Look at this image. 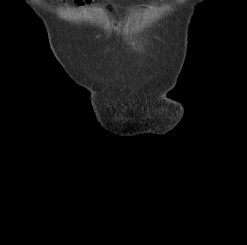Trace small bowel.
<instances>
[{
  "label": "small bowel",
  "instance_id": "c3829d8e",
  "mask_svg": "<svg viewBox=\"0 0 247 245\" xmlns=\"http://www.w3.org/2000/svg\"><path fill=\"white\" fill-rule=\"evenodd\" d=\"M66 1V0H64ZM74 4L77 5V6H85V5H88L92 2V0H73Z\"/></svg>",
  "mask_w": 247,
  "mask_h": 245
}]
</instances>
